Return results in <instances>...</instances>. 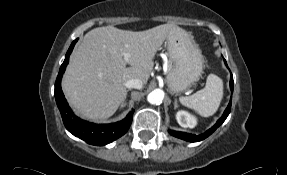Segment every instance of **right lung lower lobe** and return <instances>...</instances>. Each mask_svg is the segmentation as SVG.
Returning <instances> with one entry per match:
<instances>
[{"mask_svg":"<svg viewBox=\"0 0 287 175\" xmlns=\"http://www.w3.org/2000/svg\"><path fill=\"white\" fill-rule=\"evenodd\" d=\"M76 42L77 39L72 42L68 49L55 82L56 103L61 113L63 123L70 133L84 140L88 144L97 146L106 145L118 139L128 131L132 122V114L134 110L129 112L126 118L122 121L111 124L90 123L80 119L72 112L61 90V78L69 62V55L71 54Z\"/></svg>","mask_w":287,"mask_h":175,"instance_id":"obj_1","label":"right lung lower lobe"}]
</instances>
